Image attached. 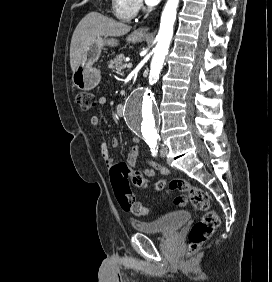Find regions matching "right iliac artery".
I'll use <instances>...</instances> for the list:
<instances>
[{"instance_id": "82829eb1", "label": "right iliac artery", "mask_w": 272, "mask_h": 282, "mask_svg": "<svg viewBox=\"0 0 272 282\" xmlns=\"http://www.w3.org/2000/svg\"><path fill=\"white\" fill-rule=\"evenodd\" d=\"M147 144L149 145V147L151 148V152L153 154L157 153L156 147H157V142H147Z\"/></svg>"}]
</instances>
